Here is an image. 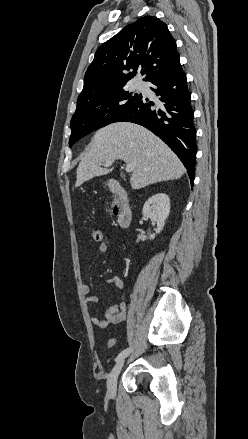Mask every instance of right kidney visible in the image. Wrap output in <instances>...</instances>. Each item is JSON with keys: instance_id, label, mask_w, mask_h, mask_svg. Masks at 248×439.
Instances as JSON below:
<instances>
[{"instance_id": "obj_1", "label": "right kidney", "mask_w": 248, "mask_h": 439, "mask_svg": "<svg viewBox=\"0 0 248 439\" xmlns=\"http://www.w3.org/2000/svg\"><path fill=\"white\" fill-rule=\"evenodd\" d=\"M142 213L149 217L152 222H156L157 227L155 233L150 235V239H154L156 234L160 233L165 225V221L170 213V198L165 193H157L150 197L144 204ZM144 241L145 236L138 235L137 242Z\"/></svg>"}]
</instances>
